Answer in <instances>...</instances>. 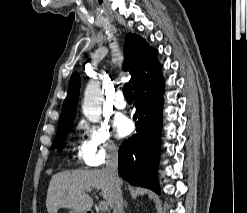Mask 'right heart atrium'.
I'll return each instance as SVG.
<instances>
[{
	"label": "right heart atrium",
	"instance_id": "d8ad5b80",
	"mask_svg": "<svg viewBox=\"0 0 247 213\" xmlns=\"http://www.w3.org/2000/svg\"><path fill=\"white\" fill-rule=\"evenodd\" d=\"M79 128L84 138L78 147L77 157L85 165L98 167L117 155L118 147L106 125L81 123Z\"/></svg>",
	"mask_w": 247,
	"mask_h": 213
}]
</instances>
